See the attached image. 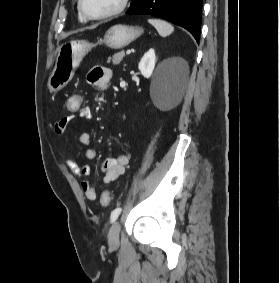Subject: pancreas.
I'll return each mask as SVG.
<instances>
[{
  "label": "pancreas",
  "instance_id": "cf45deb5",
  "mask_svg": "<svg viewBox=\"0 0 280 283\" xmlns=\"http://www.w3.org/2000/svg\"><path fill=\"white\" fill-rule=\"evenodd\" d=\"M125 56V53L124 51H121V52H118V53H115L112 57H109L108 58V63L112 62L113 65H118L120 64V62L122 61V59L124 58Z\"/></svg>",
  "mask_w": 280,
  "mask_h": 283
}]
</instances>
